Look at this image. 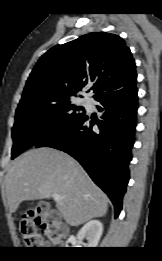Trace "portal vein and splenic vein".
<instances>
[{"label":"portal vein and splenic vein","mask_w":162,"mask_h":261,"mask_svg":"<svg viewBox=\"0 0 162 261\" xmlns=\"http://www.w3.org/2000/svg\"><path fill=\"white\" fill-rule=\"evenodd\" d=\"M52 197H53V199L55 201H60L61 200V196L59 194H57V193L52 194Z\"/></svg>","instance_id":"18ae733b"}]
</instances>
